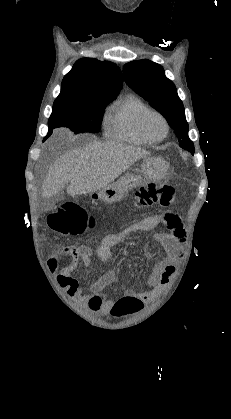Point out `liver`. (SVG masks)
I'll return each instance as SVG.
<instances>
[{"mask_svg":"<svg viewBox=\"0 0 231 419\" xmlns=\"http://www.w3.org/2000/svg\"><path fill=\"white\" fill-rule=\"evenodd\" d=\"M148 155V151L135 146L117 142H91L66 152L54 162L42 186V195L50 198L66 185L67 193L72 197L96 192L110 185L137 160Z\"/></svg>","mask_w":231,"mask_h":419,"instance_id":"1","label":"liver"}]
</instances>
